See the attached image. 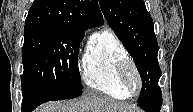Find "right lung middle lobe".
Wrapping results in <instances>:
<instances>
[{
    "instance_id": "dd1d6c3e",
    "label": "right lung middle lobe",
    "mask_w": 193,
    "mask_h": 112,
    "mask_svg": "<svg viewBox=\"0 0 193 112\" xmlns=\"http://www.w3.org/2000/svg\"><path fill=\"white\" fill-rule=\"evenodd\" d=\"M85 31L37 28L24 33L23 100L53 101L82 94L77 64Z\"/></svg>"
}]
</instances>
